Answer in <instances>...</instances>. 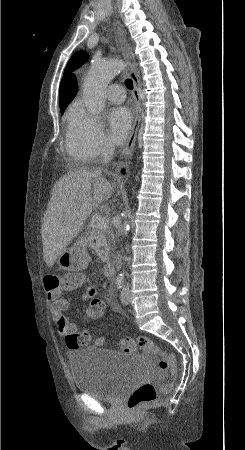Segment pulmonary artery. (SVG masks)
<instances>
[{
  "label": "pulmonary artery",
  "mask_w": 245,
  "mask_h": 450,
  "mask_svg": "<svg viewBox=\"0 0 245 450\" xmlns=\"http://www.w3.org/2000/svg\"><path fill=\"white\" fill-rule=\"evenodd\" d=\"M106 97L113 103L124 102V87L119 83H110V85L106 88Z\"/></svg>",
  "instance_id": "pulmonary-artery-1"
}]
</instances>
